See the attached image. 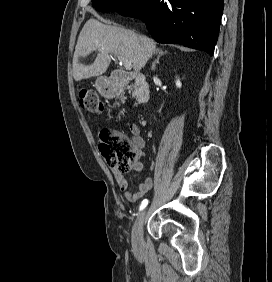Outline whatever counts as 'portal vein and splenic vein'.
<instances>
[{
	"label": "portal vein and splenic vein",
	"mask_w": 272,
	"mask_h": 282,
	"mask_svg": "<svg viewBox=\"0 0 272 282\" xmlns=\"http://www.w3.org/2000/svg\"><path fill=\"white\" fill-rule=\"evenodd\" d=\"M117 59L119 60V62H120L121 64L124 65V67H125L127 70H129V69L132 68V63H131L130 61H127V60H125L124 58H122V57H120V56H117Z\"/></svg>",
	"instance_id": "1"
}]
</instances>
